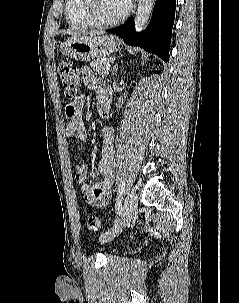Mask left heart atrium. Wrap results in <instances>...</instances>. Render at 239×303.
Wrapping results in <instances>:
<instances>
[{"label": "left heart atrium", "mask_w": 239, "mask_h": 303, "mask_svg": "<svg viewBox=\"0 0 239 303\" xmlns=\"http://www.w3.org/2000/svg\"><path fill=\"white\" fill-rule=\"evenodd\" d=\"M131 1H132V0H122L124 6H125L126 8H128V7L131 5Z\"/></svg>", "instance_id": "39dd6f15"}]
</instances>
